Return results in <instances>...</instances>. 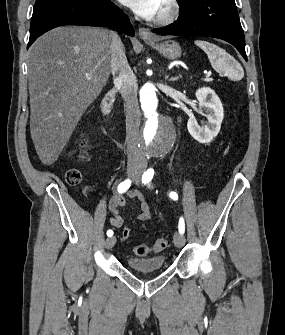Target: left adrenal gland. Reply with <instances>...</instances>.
<instances>
[{
    "mask_svg": "<svg viewBox=\"0 0 285 335\" xmlns=\"http://www.w3.org/2000/svg\"><path fill=\"white\" fill-rule=\"evenodd\" d=\"M165 78L168 82H177V80H180L181 76H177V78H169V76H165Z\"/></svg>",
    "mask_w": 285,
    "mask_h": 335,
    "instance_id": "a2214340",
    "label": "left adrenal gland"
}]
</instances>
